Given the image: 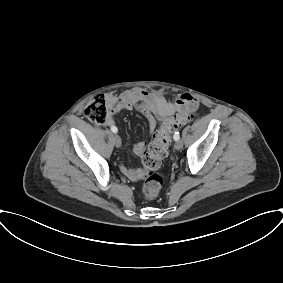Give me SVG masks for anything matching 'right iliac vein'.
Here are the masks:
<instances>
[{
    "mask_svg": "<svg viewBox=\"0 0 283 283\" xmlns=\"http://www.w3.org/2000/svg\"><path fill=\"white\" fill-rule=\"evenodd\" d=\"M113 142H114V145L116 146V147H120L121 146V144H122V142H121V138L117 135V134H115L114 136H113Z\"/></svg>",
    "mask_w": 283,
    "mask_h": 283,
    "instance_id": "obj_1",
    "label": "right iliac vein"
}]
</instances>
